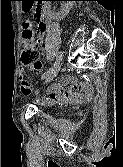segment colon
I'll list each match as a JSON object with an SVG mask.
<instances>
[{"label":"colon","mask_w":123,"mask_h":167,"mask_svg":"<svg viewBox=\"0 0 123 167\" xmlns=\"http://www.w3.org/2000/svg\"><path fill=\"white\" fill-rule=\"evenodd\" d=\"M33 17L36 21V30L30 23L25 25L23 31V48L21 52V62L24 65H32L38 67L41 63L39 60V52L36 44L39 42L42 33L45 31V24L43 22V11L36 7Z\"/></svg>","instance_id":"obj_1"}]
</instances>
